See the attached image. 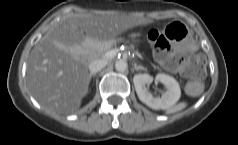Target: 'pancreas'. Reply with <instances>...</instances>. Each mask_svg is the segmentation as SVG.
Segmentation results:
<instances>
[{
  "instance_id": "cf45deb5",
  "label": "pancreas",
  "mask_w": 238,
  "mask_h": 145,
  "mask_svg": "<svg viewBox=\"0 0 238 145\" xmlns=\"http://www.w3.org/2000/svg\"><path fill=\"white\" fill-rule=\"evenodd\" d=\"M114 46H116V42L107 44L106 47H105V49H106V51H109V50H111Z\"/></svg>"
}]
</instances>
